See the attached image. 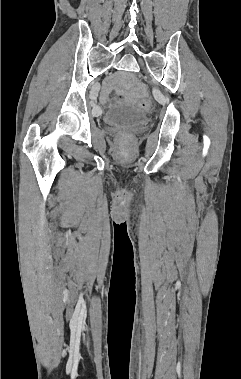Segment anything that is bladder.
Returning <instances> with one entry per match:
<instances>
[{
	"instance_id": "obj_1",
	"label": "bladder",
	"mask_w": 241,
	"mask_h": 379,
	"mask_svg": "<svg viewBox=\"0 0 241 379\" xmlns=\"http://www.w3.org/2000/svg\"><path fill=\"white\" fill-rule=\"evenodd\" d=\"M146 120V113L131 106H115L104 115L105 123L120 127H136Z\"/></svg>"
}]
</instances>
